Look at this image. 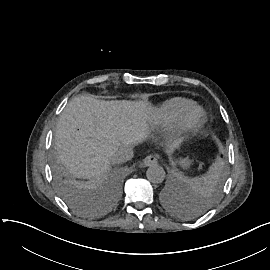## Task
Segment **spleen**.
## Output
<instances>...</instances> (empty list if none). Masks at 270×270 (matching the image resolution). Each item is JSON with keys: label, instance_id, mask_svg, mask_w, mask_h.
Returning <instances> with one entry per match:
<instances>
[{"label": "spleen", "instance_id": "3e777b00", "mask_svg": "<svg viewBox=\"0 0 270 270\" xmlns=\"http://www.w3.org/2000/svg\"><path fill=\"white\" fill-rule=\"evenodd\" d=\"M219 180V173L217 171H214L212 173V175L209 176L208 179H205L207 184H212V183H216ZM186 183L191 186V187H196L200 185V182L197 180H188L186 181Z\"/></svg>", "mask_w": 270, "mask_h": 270}]
</instances>
